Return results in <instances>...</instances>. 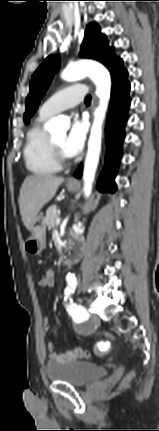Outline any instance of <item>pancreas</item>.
<instances>
[{"label":"pancreas","mask_w":159,"mask_h":431,"mask_svg":"<svg viewBox=\"0 0 159 431\" xmlns=\"http://www.w3.org/2000/svg\"><path fill=\"white\" fill-rule=\"evenodd\" d=\"M59 217L58 209L55 205L50 206L46 210L45 222L48 226V229H53L56 225V219Z\"/></svg>","instance_id":"cf45deb5"}]
</instances>
